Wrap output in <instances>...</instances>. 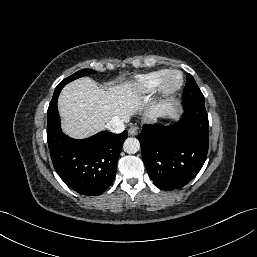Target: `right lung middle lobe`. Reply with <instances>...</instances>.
I'll use <instances>...</instances> for the list:
<instances>
[{"instance_id": "right-lung-middle-lobe-1", "label": "right lung middle lobe", "mask_w": 257, "mask_h": 257, "mask_svg": "<svg viewBox=\"0 0 257 257\" xmlns=\"http://www.w3.org/2000/svg\"><path fill=\"white\" fill-rule=\"evenodd\" d=\"M92 73H95L94 70H91V69H83V70H80L76 73H74L73 75L69 76L68 78L62 80L59 85L56 87L55 91H54V95L55 96L56 94H59L61 89L69 82L77 79V78H80V77H83L85 75H88V74H92Z\"/></svg>"}]
</instances>
